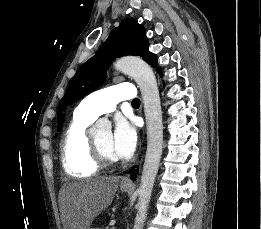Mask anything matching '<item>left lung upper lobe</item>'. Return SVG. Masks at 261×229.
<instances>
[{
    "label": "left lung upper lobe",
    "mask_w": 261,
    "mask_h": 229,
    "mask_svg": "<svg viewBox=\"0 0 261 229\" xmlns=\"http://www.w3.org/2000/svg\"><path fill=\"white\" fill-rule=\"evenodd\" d=\"M125 55L141 56L153 67L157 66L156 56L149 51L145 29L133 18L125 19L119 27L113 29L98 52L76 72L60 102L58 119L68 105L100 87L106 80L105 74L110 63ZM156 69L160 71V68Z\"/></svg>",
    "instance_id": "1"
}]
</instances>
